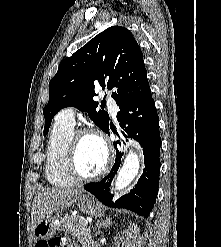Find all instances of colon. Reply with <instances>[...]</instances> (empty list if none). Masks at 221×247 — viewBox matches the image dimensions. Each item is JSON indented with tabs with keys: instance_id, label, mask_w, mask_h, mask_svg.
I'll return each mask as SVG.
<instances>
[{
	"instance_id": "obj_1",
	"label": "colon",
	"mask_w": 221,
	"mask_h": 247,
	"mask_svg": "<svg viewBox=\"0 0 221 247\" xmlns=\"http://www.w3.org/2000/svg\"><path fill=\"white\" fill-rule=\"evenodd\" d=\"M65 243V239L60 237H55L44 242L37 243V247H62Z\"/></svg>"
}]
</instances>
